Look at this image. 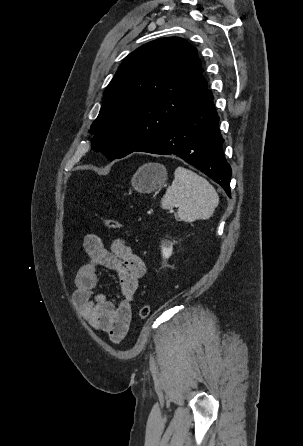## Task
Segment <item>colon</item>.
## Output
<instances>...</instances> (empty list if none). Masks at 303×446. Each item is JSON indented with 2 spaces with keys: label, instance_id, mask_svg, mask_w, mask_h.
<instances>
[{
  "label": "colon",
  "instance_id": "colon-1",
  "mask_svg": "<svg viewBox=\"0 0 303 446\" xmlns=\"http://www.w3.org/2000/svg\"><path fill=\"white\" fill-rule=\"evenodd\" d=\"M105 224V226L111 230H121L123 228L122 223L119 221L110 218V217H100ZM150 314V307L148 305H144L139 310V317L140 319H146Z\"/></svg>",
  "mask_w": 303,
  "mask_h": 446
}]
</instances>
